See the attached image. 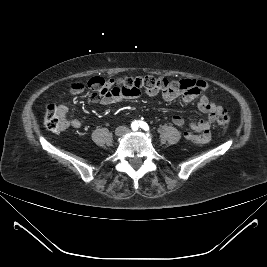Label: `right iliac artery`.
Wrapping results in <instances>:
<instances>
[{"mask_svg": "<svg viewBox=\"0 0 267 267\" xmlns=\"http://www.w3.org/2000/svg\"><path fill=\"white\" fill-rule=\"evenodd\" d=\"M138 126L139 125H138L137 122H133L132 125H131V127H132L133 130H137L138 129Z\"/></svg>", "mask_w": 267, "mask_h": 267, "instance_id": "obj_1", "label": "right iliac artery"}]
</instances>
